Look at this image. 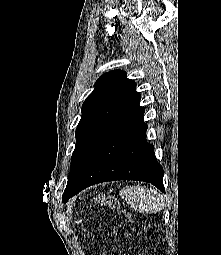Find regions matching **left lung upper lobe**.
I'll return each mask as SVG.
<instances>
[{
	"mask_svg": "<svg viewBox=\"0 0 221 255\" xmlns=\"http://www.w3.org/2000/svg\"><path fill=\"white\" fill-rule=\"evenodd\" d=\"M136 84L121 70L103 74L82 106V117L76 129V146L62 201H68L91 156L110 131L138 105Z\"/></svg>",
	"mask_w": 221,
	"mask_h": 255,
	"instance_id": "obj_1",
	"label": "left lung upper lobe"
}]
</instances>
